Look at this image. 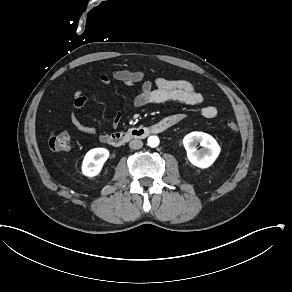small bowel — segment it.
<instances>
[{
    "label": "small bowel",
    "instance_id": "c3829d8e",
    "mask_svg": "<svg viewBox=\"0 0 292 292\" xmlns=\"http://www.w3.org/2000/svg\"><path fill=\"white\" fill-rule=\"evenodd\" d=\"M122 82L128 86L141 83V91L133 100L134 108H141L150 105H157L164 102L176 101L188 105L199 106V113L206 119L215 118L218 115V109L215 106L204 105V96L195 89L192 83L186 80H168L158 77L154 82L146 79L142 71H130L119 69L112 72L111 76L100 74L97 82L101 85H110L111 80ZM89 101V96L82 91H76L73 95V107L70 112V121L73 127L84 134L95 135L98 130L82 122L79 112ZM186 113H175L169 115L158 122L162 126L161 130H168L187 119ZM120 114L114 120L113 125L117 126L120 122ZM109 133L101 132L99 140L107 142Z\"/></svg>",
    "mask_w": 292,
    "mask_h": 292
}]
</instances>
